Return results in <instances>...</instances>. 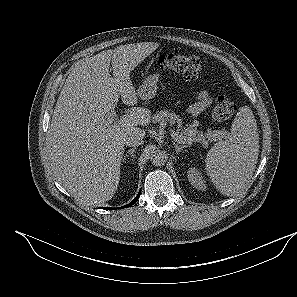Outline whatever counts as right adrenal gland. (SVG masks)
<instances>
[{"instance_id": "obj_1", "label": "right adrenal gland", "mask_w": 297, "mask_h": 297, "mask_svg": "<svg viewBox=\"0 0 297 297\" xmlns=\"http://www.w3.org/2000/svg\"><path fill=\"white\" fill-rule=\"evenodd\" d=\"M136 152V148H132L130 150L127 151V153L123 156V161L126 160L127 157L131 156L133 159L135 158V153Z\"/></svg>"}]
</instances>
